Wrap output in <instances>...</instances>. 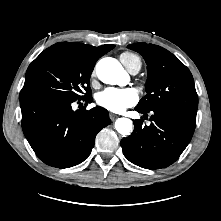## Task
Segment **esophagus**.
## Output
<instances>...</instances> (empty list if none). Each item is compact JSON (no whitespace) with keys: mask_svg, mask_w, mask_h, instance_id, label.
<instances>
[{"mask_svg":"<svg viewBox=\"0 0 221 221\" xmlns=\"http://www.w3.org/2000/svg\"><path fill=\"white\" fill-rule=\"evenodd\" d=\"M117 117H118L117 114H115V113H110V119H111L112 121H114Z\"/></svg>","mask_w":221,"mask_h":221,"instance_id":"1","label":"esophagus"}]
</instances>
